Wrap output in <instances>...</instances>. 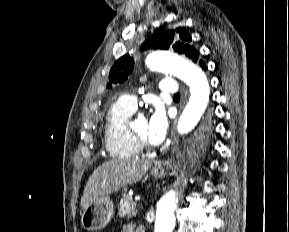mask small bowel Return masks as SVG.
<instances>
[{
    "label": "small bowel",
    "instance_id": "obj_1",
    "mask_svg": "<svg viewBox=\"0 0 289 232\" xmlns=\"http://www.w3.org/2000/svg\"><path fill=\"white\" fill-rule=\"evenodd\" d=\"M137 228H133L132 226L130 225H124L121 229V232H137Z\"/></svg>",
    "mask_w": 289,
    "mask_h": 232
}]
</instances>
